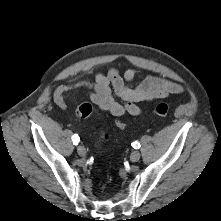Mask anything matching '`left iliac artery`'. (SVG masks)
Here are the masks:
<instances>
[{
	"mask_svg": "<svg viewBox=\"0 0 221 221\" xmlns=\"http://www.w3.org/2000/svg\"><path fill=\"white\" fill-rule=\"evenodd\" d=\"M132 146H133L135 149H139V148H140V143H138L137 141H135V142L132 143Z\"/></svg>",
	"mask_w": 221,
	"mask_h": 221,
	"instance_id": "44dca946",
	"label": "left iliac artery"
}]
</instances>
